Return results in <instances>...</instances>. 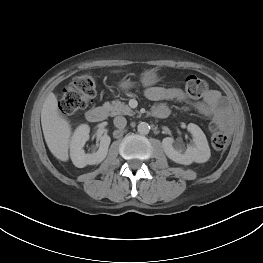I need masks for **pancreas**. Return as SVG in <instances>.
Instances as JSON below:
<instances>
[{
  "label": "pancreas",
  "instance_id": "obj_1",
  "mask_svg": "<svg viewBox=\"0 0 263 263\" xmlns=\"http://www.w3.org/2000/svg\"><path fill=\"white\" fill-rule=\"evenodd\" d=\"M103 107L110 112V116L121 115V114L131 116L134 114L132 109L121 101H112L111 104L109 102H105L103 104Z\"/></svg>",
  "mask_w": 263,
  "mask_h": 263
}]
</instances>
